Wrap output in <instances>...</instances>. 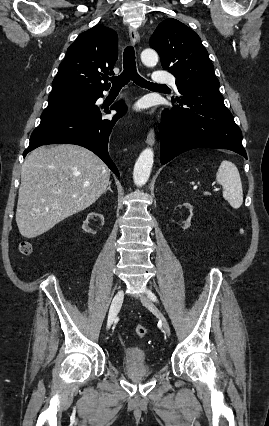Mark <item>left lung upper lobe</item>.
<instances>
[{
	"instance_id": "left-lung-upper-lobe-1",
	"label": "left lung upper lobe",
	"mask_w": 269,
	"mask_h": 426,
	"mask_svg": "<svg viewBox=\"0 0 269 426\" xmlns=\"http://www.w3.org/2000/svg\"><path fill=\"white\" fill-rule=\"evenodd\" d=\"M150 47L161 57L164 69L176 77L179 93L219 87L208 52L200 37L182 22H161L150 38Z\"/></svg>"
}]
</instances>
